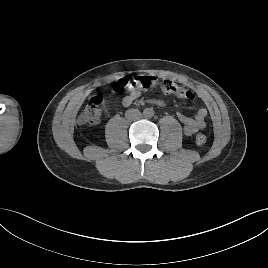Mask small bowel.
Masks as SVG:
<instances>
[{
	"instance_id": "1",
	"label": "small bowel",
	"mask_w": 268,
	"mask_h": 268,
	"mask_svg": "<svg viewBox=\"0 0 268 268\" xmlns=\"http://www.w3.org/2000/svg\"><path fill=\"white\" fill-rule=\"evenodd\" d=\"M141 96L140 89H131L130 92L123 97L122 104L125 107L130 106L135 100ZM207 110L200 108L194 117H188L181 113L177 114L179 121L183 124L184 134L191 136L206 127Z\"/></svg>"
}]
</instances>
